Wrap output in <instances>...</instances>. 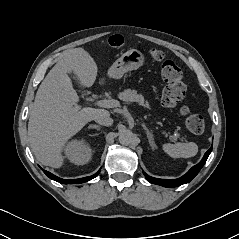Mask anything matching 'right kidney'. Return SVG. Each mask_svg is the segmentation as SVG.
<instances>
[{"label":"right kidney","instance_id":"ca27d5eb","mask_svg":"<svg viewBox=\"0 0 239 239\" xmlns=\"http://www.w3.org/2000/svg\"><path fill=\"white\" fill-rule=\"evenodd\" d=\"M64 153L70 162L84 165L90 161L92 149L84 140L73 139L65 145Z\"/></svg>","mask_w":239,"mask_h":239}]
</instances>
